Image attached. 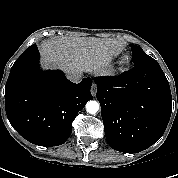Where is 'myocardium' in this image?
Segmentation results:
<instances>
[{
  "label": "myocardium",
  "mask_w": 178,
  "mask_h": 178,
  "mask_svg": "<svg viewBox=\"0 0 178 178\" xmlns=\"http://www.w3.org/2000/svg\"><path fill=\"white\" fill-rule=\"evenodd\" d=\"M127 60H128V58L126 57V58H125V61H124L125 64L127 63Z\"/></svg>",
  "instance_id": "1"
}]
</instances>
